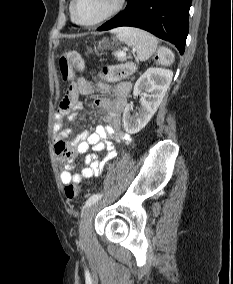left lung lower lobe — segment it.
Listing matches in <instances>:
<instances>
[{"mask_svg": "<svg viewBox=\"0 0 233 284\" xmlns=\"http://www.w3.org/2000/svg\"><path fill=\"white\" fill-rule=\"evenodd\" d=\"M191 2L192 0H128L126 8L98 30L106 31L121 26L141 28L173 43L180 54H183Z\"/></svg>", "mask_w": 233, "mask_h": 284, "instance_id": "left-lung-lower-lobe-1", "label": "left lung lower lobe"}]
</instances>
